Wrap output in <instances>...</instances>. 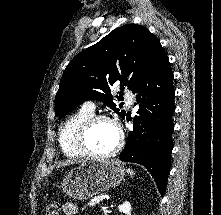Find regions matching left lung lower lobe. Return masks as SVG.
I'll list each match as a JSON object with an SVG mask.
<instances>
[{
  "instance_id": "1",
  "label": "left lung lower lobe",
  "mask_w": 221,
  "mask_h": 215,
  "mask_svg": "<svg viewBox=\"0 0 221 215\" xmlns=\"http://www.w3.org/2000/svg\"><path fill=\"white\" fill-rule=\"evenodd\" d=\"M140 108L120 160L143 165L153 176L160 193H165L173 149L171 133L175 111L173 73L164 58L132 92ZM143 120V121H142ZM142 121V126L139 127ZM144 127V130L142 128ZM139 128L141 130L139 131ZM146 132L141 134V132Z\"/></svg>"
}]
</instances>
